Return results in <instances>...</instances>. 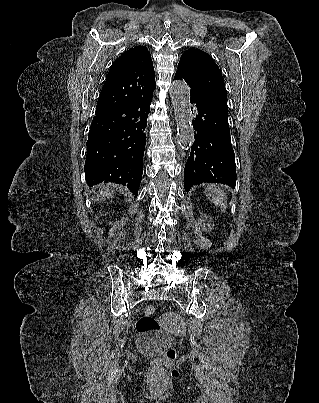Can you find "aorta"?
Masks as SVG:
<instances>
[{
  "instance_id": "762f6f07",
  "label": "aorta",
  "mask_w": 319,
  "mask_h": 403,
  "mask_svg": "<svg viewBox=\"0 0 319 403\" xmlns=\"http://www.w3.org/2000/svg\"><path fill=\"white\" fill-rule=\"evenodd\" d=\"M170 97L177 125L178 143L182 149H188L194 142V130L190 114V90L185 81L172 82Z\"/></svg>"
}]
</instances>
